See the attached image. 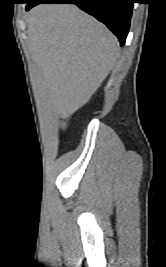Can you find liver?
I'll return each mask as SVG.
<instances>
[{"label":"liver","instance_id":"liver-1","mask_svg":"<svg viewBox=\"0 0 166 267\" xmlns=\"http://www.w3.org/2000/svg\"><path fill=\"white\" fill-rule=\"evenodd\" d=\"M28 42L53 110L62 117L90 99L119 56L118 40L105 25L70 4L35 7Z\"/></svg>","mask_w":166,"mask_h":267}]
</instances>
